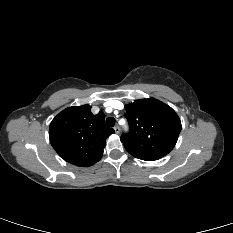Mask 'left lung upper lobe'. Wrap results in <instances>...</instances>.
Returning a JSON list of instances; mask_svg holds the SVG:
<instances>
[{"mask_svg": "<svg viewBox=\"0 0 233 233\" xmlns=\"http://www.w3.org/2000/svg\"><path fill=\"white\" fill-rule=\"evenodd\" d=\"M125 109L130 132L120 139L131 155L161 158L174 148L182 127L170 106L150 98L135 100Z\"/></svg>", "mask_w": 233, "mask_h": 233, "instance_id": "left-lung-upper-lobe-1", "label": "left lung upper lobe"}]
</instances>
